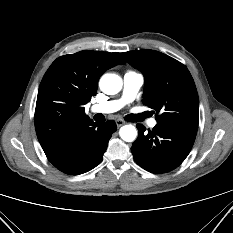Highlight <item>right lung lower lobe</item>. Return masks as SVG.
<instances>
[{
	"label": "right lung lower lobe",
	"mask_w": 233,
	"mask_h": 233,
	"mask_svg": "<svg viewBox=\"0 0 233 233\" xmlns=\"http://www.w3.org/2000/svg\"><path fill=\"white\" fill-rule=\"evenodd\" d=\"M116 129L112 120L94 123L76 144L45 154L48 160L65 174L79 175L88 172L101 163L108 141Z\"/></svg>",
	"instance_id": "obj_1"
}]
</instances>
